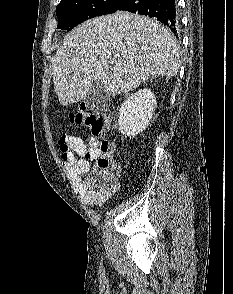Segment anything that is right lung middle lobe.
Returning <instances> with one entry per match:
<instances>
[{"label": "right lung middle lobe", "mask_w": 233, "mask_h": 294, "mask_svg": "<svg viewBox=\"0 0 233 294\" xmlns=\"http://www.w3.org/2000/svg\"><path fill=\"white\" fill-rule=\"evenodd\" d=\"M124 0H61L56 7L57 29L71 30L87 19L118 10Z\"/></svg>", "instance_id": "dd1d6c3e"}]
</instances>
